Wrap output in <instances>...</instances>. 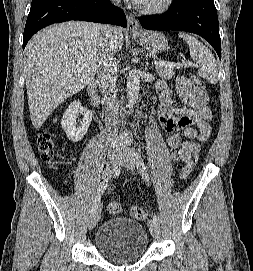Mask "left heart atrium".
<instances>
[{"instance_id":"obj_1","label":"left heart atrium","mask_w":253,"mask_h":271,"mask_svg":"<svg viewBox=\"0 0 253 271\" xmlns=\"http://www.w3.org/2000/svg\"><path fill=\"white\" fill-rule=\"evenodd\" d=\"M137 5H142L146 0H132Z\"/></svg>"}]
</instances>
